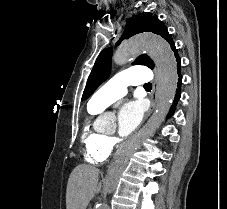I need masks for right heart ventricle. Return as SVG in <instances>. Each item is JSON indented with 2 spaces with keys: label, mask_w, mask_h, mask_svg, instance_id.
Listing matches in <instances>:
<instances>
[{
  "label": "right heart ventricle",
  "mask_w": 227,
  "mask_h": 209,
  "mask_svg": "<svg viewBox=\"0 0 227 209\" xmlns=\"http://www.w3.org/2000/svg\"><path fill=\"white\" fill-rule=\"evenodd\" d=\"M100 110L88 105V112L83 121L81 135L84 159L96 166L104 164L113 149V142L109 136L97 131L94 127V120Z\"/></svg>",
  "instance_id": "e07e8e85"
}]
</instances>
